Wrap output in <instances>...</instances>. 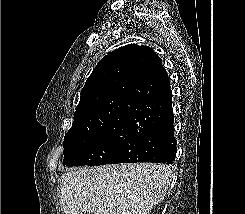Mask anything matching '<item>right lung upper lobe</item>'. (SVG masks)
<instances>
[{
  "label": "right lung upper lobe",
  "instance_id": "1",
  "mask_svg": "<svg viewBox=\"0 0 245 214\" xmlns=\"http://www.w3.org/2000/svg\"><path fill=\"white\" fill-rule=\"evenodd\" d=\"M165 85L166 71L150 47L131 44L116 49L87 79L68 132L128 127L141 111L138 98L157 94Z\"/></svg>",
  "mask_w": 245,
  "mask_h": 214
}]
</instances>
